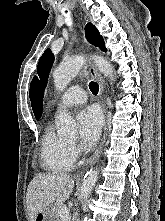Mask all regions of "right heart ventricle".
Returning <instances> with one entry per match:
<instances>
[{
	"mask_svg": "<svg viewBox=\"0 0 165 221\" xmlns=\"http://www.w3.org/2000/svg\"><path fill=\"white\" fill-rule=\"evenodd\" d=\"M42 167L49 172H65L74 167L76 154L70 142L57 134L50 124L43 133L40 148Z\"/></svg>",
	"mask_w": 165,
	"mask_h": 221,
	"instance_id": "e07e8e85",
	"label": "right heart ventricle"
}]
</instances>
